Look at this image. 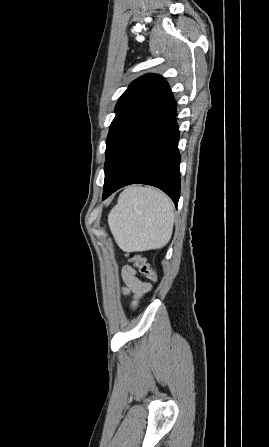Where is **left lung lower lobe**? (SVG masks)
I'll return each instance as SVG.
<instances>
[{
	"mask_svg": "<svg viewBox=\"0 0 269 447\" xmlns=\"http://www.w3.org/2000/svg\"><path fill=\"white\" fill-rule=\"evenodd\" d=\"M174 98L168 112L142 138L124 162L113 181L104 185L103 198L129 184L160 188L178 204L180 196L179 131Z\"/></svg>",
	"mask_w": 269,
	"mask_h": 447,
	"instance_id": "obj_1",
	"label": "left lung lower lobe"
}]
</instances>
